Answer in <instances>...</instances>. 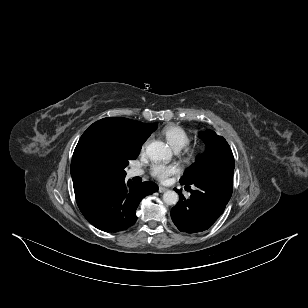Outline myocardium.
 <instances>
[{
    "label": "myocardium",
    "mask_w": 308,
    "mask_h": 308,
    "mask_svg": "<svg viewBox=\"0 0 308 308\" xmlns=\"http://www.w3.org/2000/svg\"><path fill=\"white\" fill-rule=\"evenodd\" d=\"M197 155V152L195 149L193 148H186L185 149V156H186V159L188 160H192L196 157Z\"/></svg>",
    "instance_id": "f54148a6"
}]
</instances>
